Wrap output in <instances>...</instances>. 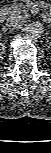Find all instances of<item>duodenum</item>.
Instances as JSON below:
<instances>
[{"label": "duodenum", "mask_w": 51, "mask_h": 153, "mask_svg": "<svg viewBox=\"0 0 51 153\" xmlns=\"http://www.w3.org/2000/svg\"><path fill=\"white\" fill-rule=\"evenodd\" d=\"M6 17V12L5 11H1L0 12V20L3 21Z\"/></svg>", "instance_id": "1"}]
</instances>
